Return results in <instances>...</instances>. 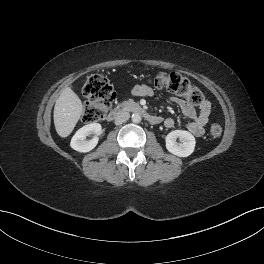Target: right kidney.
<instances>
[{
    "label": "right kidney",
    "instance_id": "right-kidney-1",
    "mask_svg": "<svg viewBox=\"0 0 264 264\" xmlns=\"http://www.w3.org/2000/svg\"><path fill=\"white\" fill-rule=\"evenodd\" d=\"M101 125L99 123H91L80 128L72 137L70 146L78 152H89L94 149L98 143V137L86 140L89 133L99 135L101 133Z\"/></svg>",
    "mask_w": 264,
    "mask_h": 264
}]
</instances>
